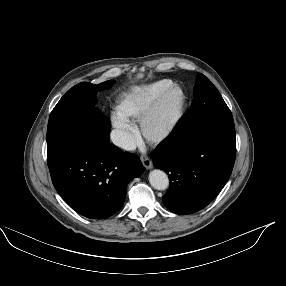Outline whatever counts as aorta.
<instances>
[{
	"instance_id": "aorta-1",
	"label": "aorta",
	"mask_w": 286,
	"mask_h": 286,
	"mask_svg": "<svg viewBox=\"0 0 286 286\" xmlns=\"http://www.w3.org/2000/svg\"><path fill=\"white\" fill-rule=\"evenodd\" d=\"M149 182L157 190H165L169 185L167 174L159 169L152 170L149 173Z\"/></svg>"
}]
</instances>
